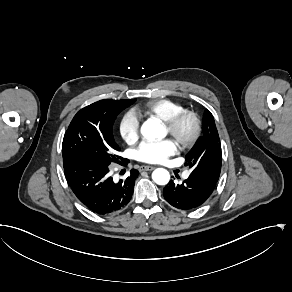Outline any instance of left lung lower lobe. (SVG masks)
<instances>
[{
	"mask_svg": "<svg viewBox=\"0 0 292 292\" xmlns=\"http://www.w3.org/2000/svg\"><path fill=\"white\" fill-rule=\"evenodd\" d=\"M215 187V183L189 176L181 184H175L171 180L163 188V196L177 209L192 210L201 206L210 197Z\"/></svg>",
	"mask_w": 292,
	"mask_h": 292,
	"instance_id": "left-lung-lower-lobe-1",
	"label": "left lung lower lobe"
}]
</instances>
